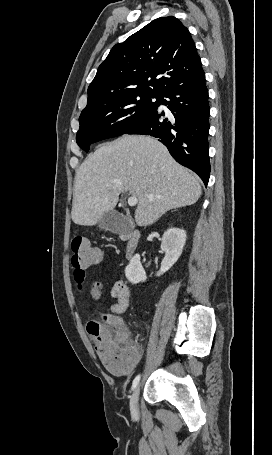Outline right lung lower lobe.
<instances>
[{
  "label": "right lung lower lobe",
  "mask_w": 272,
  "mask_h": 455,
  "mask_svg": "<svg viewBox=\"0 0 272 455\" xmlns=\"http://www.w3.org/2000/svg\"><path fill=\"white\" fill-rule=\"evenodd\" d=\"M160 104L166 105L172 114L166 117L158 109ZM209 113L208 90L203 72L161 94L157 109L127 134L159 138L178 163L197 173L207 185L210 176Z\"/></svg>",
  "instance_id": "98d812e1"
}]
</instances>
